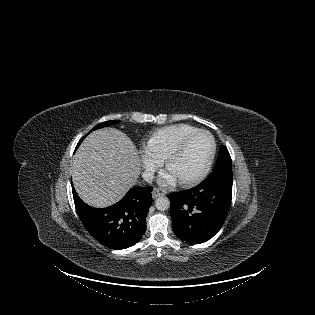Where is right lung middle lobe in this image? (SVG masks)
I'll list each match as a JSON object with an SVG mask.
<instances>
[{"mask_svg": "<svg viewBox=\"0 0 315 315\" xmlns=\"http://www.w3.org/2000/svg\"><path fill=\"white\" fill-rule=\"evenodd\" d=\"M118 122H119V120H112V121L103 122V123H100L97 126H95L91 131L102 128V127L107 126V125L115 124Z\"/></svg>", "mask_w": 315, "mask_h": 315, "instance_id": "right-lung-middle-lobe-1", "label": "right lung middle lobe"}]
</instances>
